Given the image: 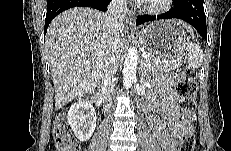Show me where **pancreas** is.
Returning a JSON list of instances; mask_svg holds the SVG:
<instances>
[{
    "label": "pancreas",
    "instance_id": "pancreas-1",
    "mask_svg": "<svg viewBox=\"0 0 231 151\" xmlns=\"http://www.w3.org/2000/svg\"><path fill=\"white\" fill-rule=\"evenodd\" d=\"M181 63L174 61V62H163L161 58L156 57L152 54H149V57L144 58L143 67L145 71L148 72H174L180 71Z\"/></svg>",
    "mask_w": 231,
    "mask_h": 151
}]
</instances>
